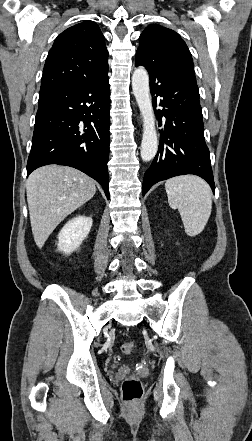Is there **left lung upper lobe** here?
<instances>
[{"mask_svg": "<svg viewBox=\"0 0 252 441\" xmlns=\"http://www.w3.org/2000/svg\"><path fill=\"white\" fill-rule=\"evenodd\" d=\"M136 63L149 69L162 63H175L194 75L192 56L183 39L175 31L156 24L149 25L140 35Z\"/></svg>", "mask_w": 252, "mask_h": 441, "instance_id": "5c2ea615", "label": "left lung upper lobe"}]
</instances>
